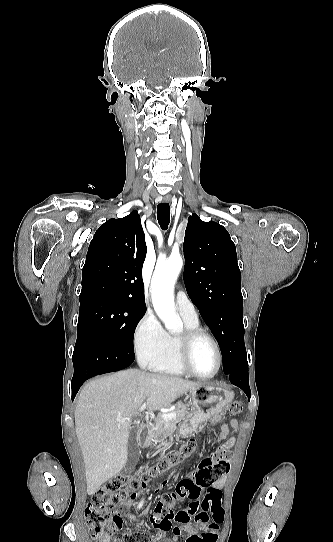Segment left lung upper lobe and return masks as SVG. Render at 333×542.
<instances>
[{"label": "left lung upper lobe", "instance_id": "5c2ea615", "mask_svg": "<svg viewBox=\"0 0 333 542\" xmlns=\"http://www.w3.org/2000/svg\"><path fill=\"white\" fill-rule=\"evenodd\" d=\"M183 252L186 290L218 341L227 374L247 359L235 244L222 225L192 214Z\"/></svg>", "mask_w": 333, "mask_h": 542}]
</instances>
